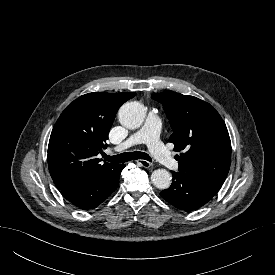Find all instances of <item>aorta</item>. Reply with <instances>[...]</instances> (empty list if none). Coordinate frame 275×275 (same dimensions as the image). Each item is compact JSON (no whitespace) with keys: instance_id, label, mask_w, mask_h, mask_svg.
<instances>
[{"instance_id":"762f6f07","label":"aorta","mask_w":275,"mask_h":275,"mask_svg":"<svg viewBox=\"0 0 275 275\" xmlns=\"http://www.w3.org/2000/svg\"><path fill=\"white\" fill-rule=\"evenodd\" d=\"M120 123L129 128H139L145 119L144 106L136 101L123 104L118 112ZM171 174L165 169H157L151 174V181L158 189H167L171 184Z\"/></svg>"}]
</instances>
